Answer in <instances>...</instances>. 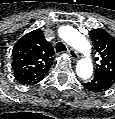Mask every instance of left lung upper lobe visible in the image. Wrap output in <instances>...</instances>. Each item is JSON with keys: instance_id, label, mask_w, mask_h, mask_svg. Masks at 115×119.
<instances>
[{"instance_id": "1", "label": "left lung upper lobe", "mask_w": 115, "mask_h": 119, "mask_svg": "<svg viewBox=\"0 0 115 119\" xmlns=\"http://www.w3.org/2000/svg\"><path fill=\"white\" fill-rule=\"evenodd\" d=\"M89 35L98 54L95 74L115 83V38L103 29H93Z\"/></svg>"}]
</instances>
